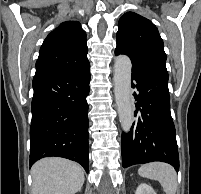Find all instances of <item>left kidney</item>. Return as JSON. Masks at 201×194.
I'll list each match as a JSON object with an SVG mask.
<instances>
[{
  "instance_id": "5707ae66",
  "label": "left kidney",
  "mask_w": 201,
  "mask_h": 194,
  "mask_svg": "<svg viewBox=\"0 0 201 194\" xmlns=\"http://www.w3.org/2000/svg\"><path fill=\"white\" fill-rule=\"evenodd\" d=\"M135 194H157V193L154 191V189L151 186L145 183H141L138 186Z\"/></svg>"
}]
</instances>
